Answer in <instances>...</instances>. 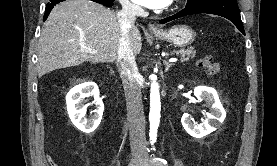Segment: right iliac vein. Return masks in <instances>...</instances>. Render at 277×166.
<instances>
[{"instance_id": "obj_1", "label": "right iliac vein", "mask_w": 277, "mask_h": 166, "mask_svg": "<svg viewBox=\"0 0 277 166\" xmlns=\"http://www.w3.org/2000/svg\"><path fill=\"white\" fill-rule=\"evenodd\" d=\"M129 166H138V164L136 162H132L129 164Z\"/></svg>"}]
</instances>
